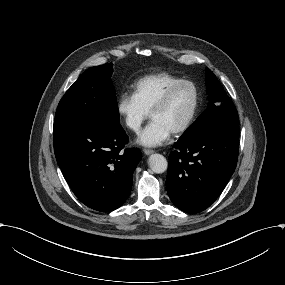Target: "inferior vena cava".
I'll return each mask as SVG.
<instances>
[{
  "instance_id": "602c4592",
  "label": "inferior vena cava",
  "mask_w": 285,
  "mask_h": 285,
  "mask_svg": "<svg viewBox=\"0 0 285 285\" xmlns=\"http://www.w3.org/2000/svg\"><path fill=\"white\" fill-rule=\"evenodd\" d=\"M127 124L130 126V127H132V128H134L135 127V125L134 124H132V123H129L128 121H127Z\"/></svg>"
}]
</instances>
